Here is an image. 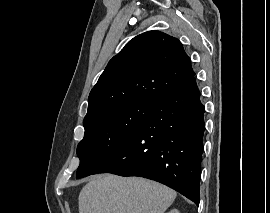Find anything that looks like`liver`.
I'll return each instance as SVG.
<instances>
[{"label":"liver","instance_id":"1","mask_svg":"<svg viewBox=\"0 0 270 213\" xmlns=\"http://www.w3.org/2000/svg\"><path fill=\"white\" fill-rule=\"evenodd\" d=\"M177 194L143 178L94 176L80 191L79 213H164Z\"/></svg>","mask_w":270,"mask_h":213}]
</instances>
